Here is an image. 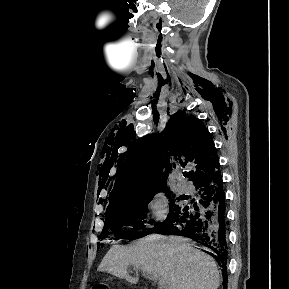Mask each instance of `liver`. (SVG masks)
<instances>
[{
  "instance_id": "liver-1",
  "label": "liver",
  "mask_w": 289,
  "mask_h": 289,
  "mask_svg": "<svg viewBox=\"0 0 289 289\" xmlns=\"http://www.w3.org/2000/svg\"><path fill=\"white\" fill-rule=\"evenodd\" d=\"M142 269L148 278L162 280L167 289H217L220 274L215 260L195 249L186 239L150 235L131 246L114 245L98 271L137 283L128 275V266Z\"/></svg>"
}]
</instances>
